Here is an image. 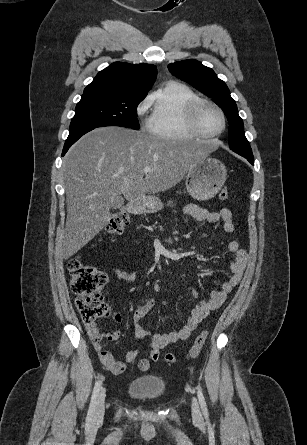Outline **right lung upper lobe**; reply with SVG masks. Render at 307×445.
Masks as SVG:
<instances>
[{
  "instance_id": "obj_1",
  "label": "right lung upper lobe",
  "mask_w": 307,
  "mask_h": 445,
  "mask_svg": "<svg viewBox=\"0 0 307 445\" xmlns=\"http://www.w3.org/2000/svg\"><path fill=\"white\" fill-rule=\"evenodd\" d=\"M157 77V69L149 64L115 62L100 71L84 89L82 96L116 95L144 97Z\"/></svg>"
}]
</instances>
